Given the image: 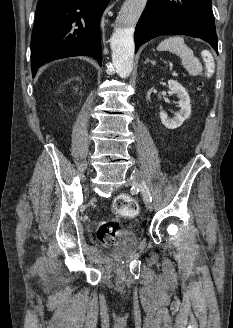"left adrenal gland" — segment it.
<instances>
[{"label":"left adrenal gland","mask_w":233,"mask_h":328,"mask_svg":"<svg viewBox=\"0 0 233 328\" xmlns=\"http://www.w3.org/2000/svg\"><path fill=\"white\" fill-rule=\"evenodd\" d=\"M147 63H151L152 65H156V62L150 60L149 58H147L146 61L144 62V64H147Z\"/></svg>","instance_id":"a2214340"}]
</instances>
